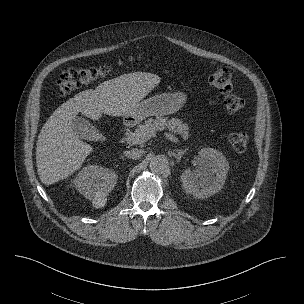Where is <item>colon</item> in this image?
<instances>
[{"mask_svg":"<svg viewBox=\"0 0 304 304\" xmlns=\"http://www.w3.org/2000/svg\"><path fill=\"white\" fill-rule=\"evenodd\" d=\"M110 71L108 66L90 68H71L63 72L57 80V87L61 96L82 86L88 85L105 77ZM208 82L223 95V103L228 113L234 114L245 106V99L233 93V79L231 72L225 68L217 69L208 77ZM248 135L245 132H232L228 141L237 152H244L248 145Z\"/></svg>","mask_w":304,"mask_h":304,"instance_id":"obj_1","label":"colon"}]
</instances>
